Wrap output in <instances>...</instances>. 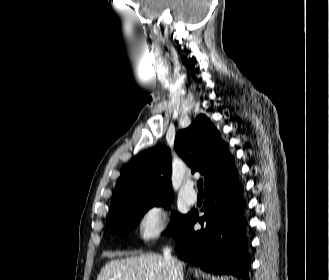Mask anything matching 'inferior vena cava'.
I'll return each instance as SVG.
<instances>
[{
	"mask_svg": "<svg viewBox=\"0 0 329 280\" xmlns=\"http://www.w3.org/2000/svg\"><path fill=\"white\" fill-rule=\"evenodd\" d=\"M164 259L170 268V274L172 280H183L182 265L178 260L171 256V249L166 247L163 251Z\"/></svg>",
	"mask_w": 329,
	"mask_h": 280,
	"instance_id": "1",
	"label": "inferior vena cava"
}]
</instances>
